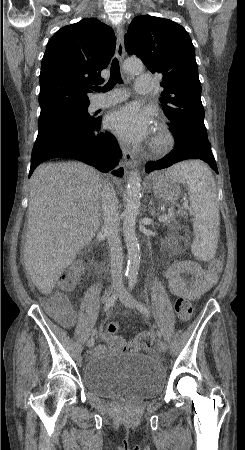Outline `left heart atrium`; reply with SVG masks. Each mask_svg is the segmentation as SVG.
Here are the masks:
<instances>
[{
  "mask_svg": "<svg viewBox=\"0 0 245 450\" xmlns=\"http://www.w3.org/2000/svg\"><path fill=\"white\" fill-rule=\"evenodd\" d=\"M152 114L137 104H128L111 112L107 124L122 140L139 142L147 138L152 131Z\"/></svg>",
  "mask_w": 245,
  "mask_h": 450,
  "instance_id": "1",
  "label": "left heart atrium"
}]
</instances>
